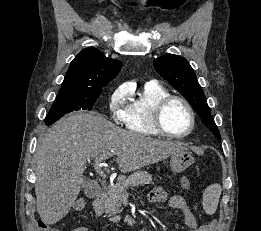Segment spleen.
<instances>
[{
    "mask_svg": "<svg viewBox=\"0 0 261 231\" xmlns=\"http://www.w3.org/2000/svg\"><path fill=\"white\" fill-rule=\"evenodd\" d=\"M221 186L219 184H212L208 186L203 192V209L208 215L215 213L219 198L221 195Z\"/></svg>",
    "mask_w": 261,
    "mask_h": 231,
    "instance_id": "spleen-1",
    "label": "spleen"
}]
</instances>
